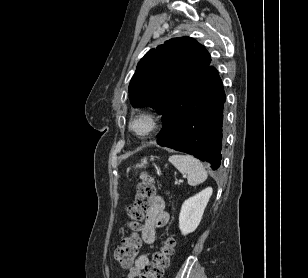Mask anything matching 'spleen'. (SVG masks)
Here are the masks:
<instances>
[{"mask_svg":"<svg viewBox=\"0 0 308 278\" xmlns=\"http://www.w3.org/2000/svg\"><path fill=\"white\" fill-rule=\"evenodd\" d=\"M171 162L180 173L187 175L188 184L196 186L207 179V172L202 163L191 155H172Z\"/></svg>","mask_w":308,"mask_h":278,"instance_id":"3e777b00","label":"spleen"}]
</instances>
